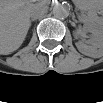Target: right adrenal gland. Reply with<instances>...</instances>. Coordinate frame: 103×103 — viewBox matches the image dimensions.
<instances>
[{"instance_id": "1", "label": "right adrenal gland", "mask_w": 103, "mask_h": 103, "mask_svg": "<svg viewBox=\"0 0 103 103\" xmlns=\"http://www.w3.org/2000/svg\"><path fill=\"white\" fill-rule=\"evenodd\" d=\"M32 21H33V20H30V24H29L30 26H31V22H32Z\"/></svg>"}]
</instances>
